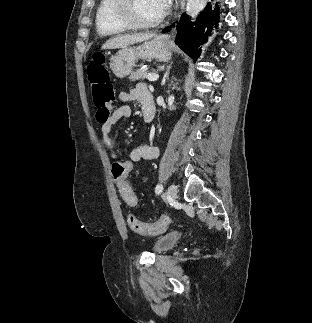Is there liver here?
<instances>
[{"label": "liver", "mask_w": 312, "mask_h": 323, "mask_svg": "<svg viewBox=\"0 0 312 323\" xmlns=\"http://www.w3.org/2000/svg\"><path fill=\"white\" fill-rule=\"evenodd\" d=\"M155 34H119L115 38H109L103 46L102 50H116V48H125L130 44H137V42H145V40H151Z\"/></svg>", "instance_id": "obj_1"}]
</instances>
